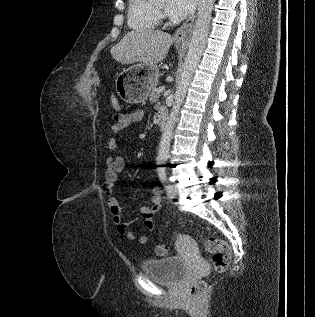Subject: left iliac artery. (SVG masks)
<instances>
[{"label": "left iliac artery", "mask_w": 315, "mask_h": 317, "mask_svg": "<svg viewBox=\"0 0 315 317\" xmlns=\"http://www.w3.org/2000/svg\"><path fill=\"white\" fill-rule=\"evenodd\" d=\"M158 175H159V178H160V180L162 182H166L167 181L166 171H165V167L164 166H160L158 168ZM166 189L169 190L170 189V185H167Z\"/></svg>", "instance_id": "1"}]
</instances>
